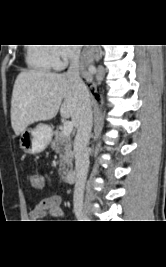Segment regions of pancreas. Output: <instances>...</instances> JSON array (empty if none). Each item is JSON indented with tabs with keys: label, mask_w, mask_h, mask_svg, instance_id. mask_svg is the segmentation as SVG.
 <instances>
[{
	"label": "pancreas",
	"mask_w": 166,
	"mask_h": 267,
	"mask_svg": "<svg viewBox=\"0 0 166 267\" xmlns=\"http://www.w3.org/2000/svg\"><path fill=\"white\" fill-rule=\"evenodd\" d=\"M54 135L55 137L51 142V148L59 154V173L61 176H64L67 171L73 166V151L71 139L69 136L64 135L63 131L59 130H56L54 132Z\"/></svg>",
	"instance_id": "obj_1"
}]
</instances>
